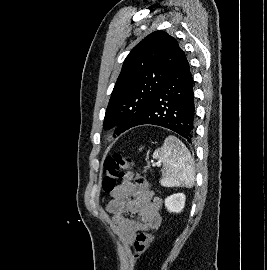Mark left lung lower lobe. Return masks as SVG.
Listing matches in <instances>:
<instances>
[{
	"mask_svg": "<svg viewBox=\"0 0 267 270\" xmlns=\"http://www.w3.org/2000/svg\"><path fill=\"white\" fill-rule=\"evenodd\" d=\"M195 118L192 75L181 50L162 88L132 127L143 124L162 126L192 143Z\"/></svg>",
	"mask_w": 267,
	"mask_h": 270,
	"instance_id": "0a47b994",
	"label": "left lung lower lobe"
}]
</instances>
